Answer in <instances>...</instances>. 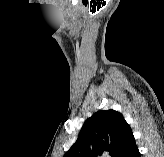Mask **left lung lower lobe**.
<instances>
[{"label": "left lung lower lobe", "instance_id": "obj_1", "mask_svg": "<svg viewBox=\"0 0 164 157\" xmlns=\"http://www.w3.org/2000/svg\"><path fill=\"white\" fill-rule=\"evenodd\" d=\"M116 157H141V154L135 143V138L132 136L118 151Z\"/></svg>", "mask_w": 164, "mask_h": 157}]
</instances>
